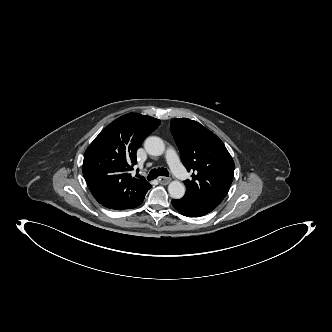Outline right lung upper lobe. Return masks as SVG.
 I'll return each mask as SVG.
<instances>
[{"label":"right lung upper lobe","mask_w":332,"mask_h":332,"mask_svg":"<svg viewBox=\"0 0 332 332\" xmlns=\"http://www.w3.org/2000/svg\"><path fill=\"white\" fill-rule=\"evenodd\" d=\"M159 119L128 113L105 127L84 154L82 171L93 197L104 207L124 210L139 200L151 185L132 178L136 151L154 131Z\"/></svg>","instance_id":"right-lung-upper-lobe-1"}]
</instances>
